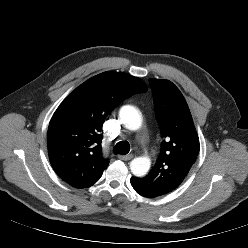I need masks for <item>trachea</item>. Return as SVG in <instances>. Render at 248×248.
<instances>
[{
    "mask_svg": "<svg viewBox=\"0 0 248 248\" xmlns=\"http://www.w3.org/2000/svg\"><path fill=\"white\" fill-rule=\"evenodd\" d=\"M130 151L129 143L126 141H119L114 147V153L126 155Z\"/></svg>",
    "mask_w": 248,
    "mask_h": 248,
    "instance_id": "3493384b",
    "label": "trachea"
}]
</instances>
